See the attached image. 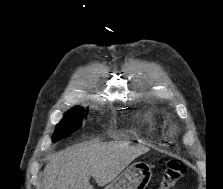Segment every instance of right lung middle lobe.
Returning <instances> with one entry per match:
<instances>
[{"label": "right lung middle lobe", "mask_w": 223, "mask_h": 189, "mask_svg": "<svg viewBox=\"0 0 223 189\" xmlns=\"http://www.w3.org/2000/svg\"><path fill=\"white\" fill-rule=\"evenodd\" d=\"M88 110H86L87 112ZM84 113V108L80 106H75L69 110L61 120V122L56 126L55 132L52 137V141L56 142L64 139L71 134H73L77 129L81 127L83 118H86Z\"/></svg>", "instance_id": "1"}]
</instances>
